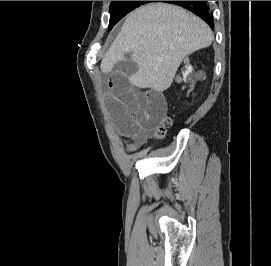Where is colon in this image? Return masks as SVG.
<instances>
[{"label": "colon", "instance_id": "colon-1", "mask_svg": "<svg viewBox=\"0 0 271 266\" xmlns=\"http://www.w3.org/2000/svg\"><path fill=\"white\" fill-rule=\"evenodd\" d=\"M170 125V120L168 118H164L161 122L160 128L158 130L159 135H163L165 129Z\"/></svg>", "mask_w": 271, "mask_h": 266}]
</instances>
